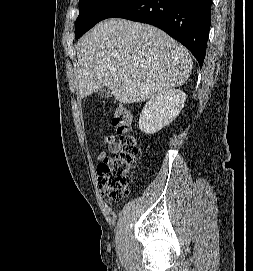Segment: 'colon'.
I'll return each instance as SVG.
<instances>
[{"instance_id": "5ec220e1", "label": "colon", "mask_w": 253, "mask_h": 271, "mask_svg": "<svg viewBox=\"0 0 253 271\" xmlns=\"http://www.w3.org/2000/svg\"><path fill=\"white\" fill-rule=\"evenodd\" d=\"M133 122L132 112L118 105L112 125L119 136L120 150L105 156L97 166L99 191L110 203H117L125 197L136 164L137 143L132 133Z\"/></svg>"}]
</instances>
